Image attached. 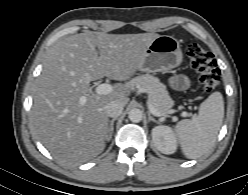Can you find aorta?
Here are the masks:
<instances>
[{
    "label": "aorta",
    "mask_w": 248,
    "mask_h": 195,
    "mask_svg": "<svg viewBox=\"0 0 248 195\" xmlns=\"http://www.w3.org/2000/svg\"><path fill=\"white\" fill-rule=\"evenodd\" d=\"M142 117H143L142 111L137 108L131 109L128 113V118L130 119V121L134 123L140 122L142 120Z\"/></svg>",
    "instance_id": "aorta-1"
}]
</instances>
